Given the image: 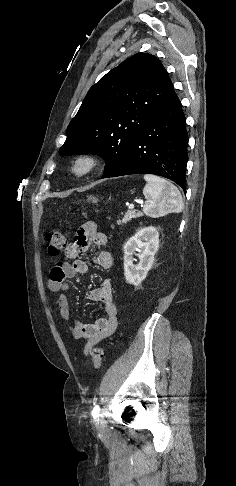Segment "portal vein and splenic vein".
Returning a JSON list of instances; mask_svg holds the SVG:
<instances>
[{
	"mask_svg": "<svg viewBox=\"0 0 236 486\" xmlns=\"http://www.w3.org/2000/svg\"><path fill=\"white\" fill-rule=\"evenodd\" d=\"M134 207H135V206H134V204H131V205H129V207H128V208H129V210H133V209H134Z\"/></svg>",
	"mask_w": 236,
	"mask_h": 486,
	"instance_id": "portal-vein-and-splenic-vein-1",
	"label": "portal vein and splenic vein"
}]
</instances>
